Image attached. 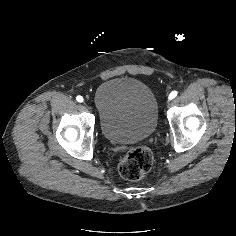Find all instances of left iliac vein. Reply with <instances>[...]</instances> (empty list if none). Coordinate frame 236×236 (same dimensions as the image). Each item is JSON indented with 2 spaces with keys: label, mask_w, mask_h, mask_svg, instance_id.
Masks as SVG:
<instances>
[{
  "label": "left iliac vein",
  "mask_w": 236,
  "mask_h": 236,
  "mask_svg": "<svg viewBox=\"0 0 236 236\" xmlns=\"http://www.w3.org/2000/svg\"><path fill=\"white\" fill-rule=\"evenodd\" d=\"M173 101V98L172 97H169L168 99H166L164 101V105H163V109L165 112H168L169 111V107L171 106V102Z\"/></svg>",
  "instance_id": "obj_1"
}]
</instances>
